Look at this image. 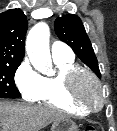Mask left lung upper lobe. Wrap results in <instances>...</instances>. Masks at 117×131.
<instances>
[{
  "instance_id": "left-lung-upper-lobe-1",
  "label": "left lung upper lobe",
  "mask_w": 117,
  "mask_h": 131,
  "mask_svg": "<svg viewBox=\"0 0 117 131\" xmlns=\"http://www.w3.org/2000/svg\"><path fill=\"white\" fill-rule=\"evenodd\" d=\"M54 29L59 39L68 44L80 60L100 78L98 61L80 18L73 14L59 17L54 22Z\"/></svg>"
}]
</instances>
